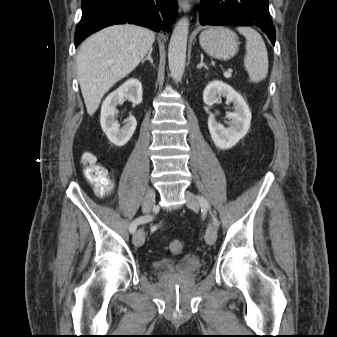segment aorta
<instances>
[{
    "label": "aorta",
    "mask_w": 337,
    "mask_h": 337,
    "mask_svg": "<svg viewBox=\"0 0 337 337\" xmlns=\"http://www.w3.org/2000/svg\"><path fill=\"white\" fill-rule=\"evenodd\" d=\"M189 20L182 18L176 24L168 47V62L172 78L180 81L186 63Z\"/></svg>",
    "instance_id": "762f6f07"
}]
</instances>
